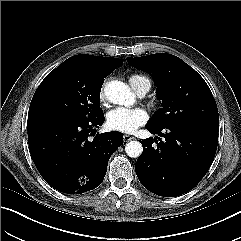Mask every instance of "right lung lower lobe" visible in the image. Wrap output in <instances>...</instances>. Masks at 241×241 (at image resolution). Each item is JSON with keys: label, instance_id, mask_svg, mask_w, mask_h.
<instances>
[{"label": "right lung lower lobe", "instance_id": "obj_1", "mask_svg": "<svg viewBox=\"0 0 241 241\" xmlns=\"http://www.w3.org/2000/svg\"><path fill=\"white\" fill-rule=\"evenodd\" d=\"M104 114L91 120L44 118L28 121L32 160L43 179L58 191L80 194L98 187L112 153L123 144L119 132L89 134L104 122Z\"/></svg>", "mask_w": 241, "mask_h": 241}]
</instances>
